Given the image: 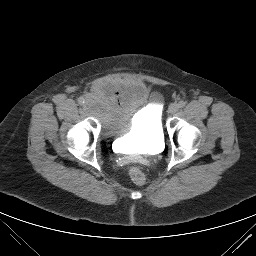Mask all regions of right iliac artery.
I'll return each mask as SVG.
<instances>
[{
	"label": "right iliac artery",
	"instance_id": "right-iliac-artery-1",
	"mask_svg": "<svg viewBox=\"0 0 256 256\" xmlns=\"http://www.w3.org/2000/svg\"><path fill=\"white\" fill-rule=\"evenodd\" d=\"M84 102H85V100H84L83 97H79V98H78V103H79L80 105L84 104Z\"/></svg>",
	"mask_w": 256,
	"mask_h": 256
}]
</instances>
